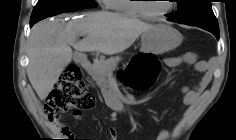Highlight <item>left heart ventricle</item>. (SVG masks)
<instances>
[{
    "label": "left heart ventricle",
    "instance_id": "b2bd125f",
    "mask_svg": "<svg viewBox=\"0 0 236 140\" xmlns=\"http://www.w3.org/2000/svg\"><path fill=\"white\" fill-rule=\"evenodd\" d=\"M145 4L146 9L151 13H160L169 8L170 2L163 0H148Z\"/></svg>",
    "mask_w": 236,
    "mask_h": 140
}]
</instances>
